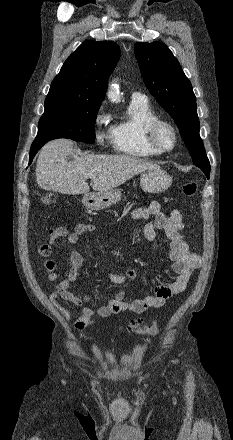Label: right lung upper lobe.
<instances>
[{"label":"right lung upper lobe","mask_w":233,"mask_h":440,"mask_svg":"<svg viewBox=\"0 0 233 440\" xmlns=\"http://www.w3.org/2000/svg\"><path fill=\"white\" fill-rule=\"evenodd\" d=\"M119 58L120 48L113 41H85L65 61L52 81L45 102L101 103L107 80Z\"/></svg>","instance_id":"right-lung-upper-lobe-1"}]
</instances>
